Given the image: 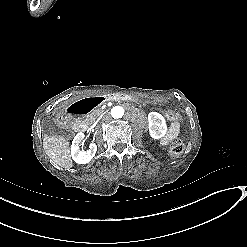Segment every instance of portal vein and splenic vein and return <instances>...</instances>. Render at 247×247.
Listing matches in <instances>:
<instances>
[{
  "label": "portal vein and splenic vein",
  "instance_id": "18ae733b",
  "mask_svg": "<svg viewBox=\"0 0 247 247\" xmlns=\"http://www.w3.org/2000/svg\"><path fill=\"white\" fill-rule=\"evenodd\" d=\"M106 104L102 105V111H105Z\"/></svg>",
  "mask_w": 247,
  "mask_h": 247
}]
</instances>
